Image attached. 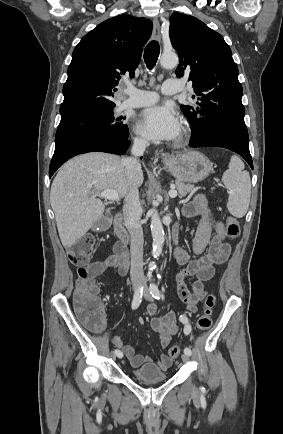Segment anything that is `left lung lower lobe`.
<instances>
[{
    "label": "left lung lower lobe",
    "instance_id": "obj_1",
    "mask_svg": "<svg viewBox=\"0 0 283 434\" xmlns=\"http://www.w3.org/2000/svg\"><path fill=\"white\" fill-rule=\"evenodd\" d=\"M191 146L193 148L213 146L229 149L242 156L253 169V162L251 159L248 142L241 141L233 137L220 136L208 139L203 142H192Z\"/></svg>",
    "mask_w": 283,
    "mask_h": 434
}]
</instances>
